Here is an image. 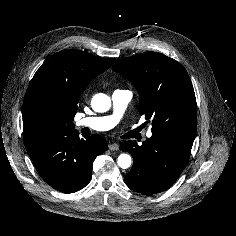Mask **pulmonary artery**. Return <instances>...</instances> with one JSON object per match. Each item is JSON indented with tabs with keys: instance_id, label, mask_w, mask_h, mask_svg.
<instances>
[{
	"instance_id": "1",
	"label": "pulmonary artery",
	"mask_w": 236,
	"mask_h": 236,
	"mask_svg": "<svg viewBox=\"0 0 236 236\" xmlns=\"http://www.w3.org/2000/svg\"><path fill=\"white\" fill-rule=\"evenodd\" d=\"M131 99V91L117 89L112 94L113 111L110 115L82 118L76 122V125L79 127H88L97 131L110 130L120 122ZM146 136L150 138L152 132L150 130L147 131Z\"/></svg>"
}]
</instances>
